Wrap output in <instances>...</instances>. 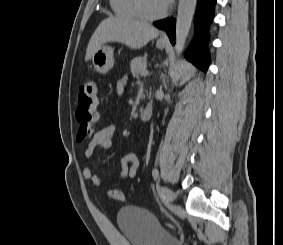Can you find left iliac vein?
I'll list each match as a JSON object with an SVG mask.
<instances>
[{"label":"left iliac vein","mask_w":283,"mask_h":245,"mask_svg":"<svg viewBox=\"0 0 283 245\" xmlns=\"http://www.w3.org/2000/svg\"><path fill=\"white\" fill-rule=\"evenodd\" d=\"M161 190H162L164 201L166 205L169 207H173L174 200H175V194L173 193V191L167 187H162Z\"/></svg>","instance_id":"left-iliac-vein-1"}]
</instances>
